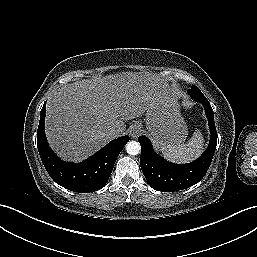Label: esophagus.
<instances>
[{
  "instance_id": "esophagus-1",
  "label": "esophagus",
  "mask_w": 257,
  "mask_h": 257,
  "mask_svg": "<svg viewBox=\"0 0 257 257\" xmlns=\"http://www.w3.org/2000/svg\"><path fill=\"white\" fill-rule=\"evenodd\" d=\"M141 132V127L139 125H134L130 130V136L132 138H137Z\"/></svg>"
}]
</instances>
